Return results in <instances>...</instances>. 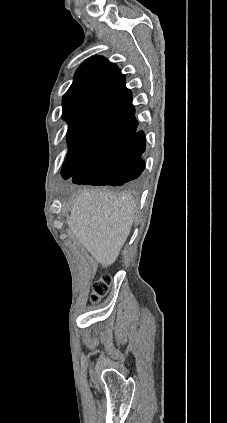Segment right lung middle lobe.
I'll return each instance as SVG.
<instances>
[{
    "mask_svg": "<svg viewBox=\"0 0 227 423\" xmlns=\"http://www.w3.org/2000/svg\"><path fill=\"white\" fill-rule=\"evenodd\" d=\"M91 155L80 154L69 150L66 159L67 174L71 177Z\"/></svg>",
    "mask_w": 227,
    "mask_h": 423,
    "instance_id": "right-lung-middle-lobe-1",
    "label": "right lung middle lobe"
}]
</instances>
